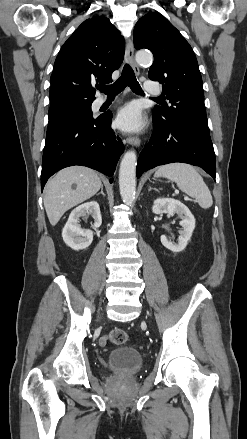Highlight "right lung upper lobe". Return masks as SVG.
<instances>
[{
    "label": "right lung upper lobe",
    "instance_id": "cb5924a9",
    "mask_svg": "<svg viewBox=\"0 0 247 439\" xmlns=\"http://www.w3.org/2000/svg\"><path fill=\"white\" fill-rule=\"evenodd\" d=\"M124 38L106 17L85 20L60 49L51 75L50 109L95 100V82L108 83L123 61Z\"/></svg>",
    "mask_w": 247,
    "mask_h": 439
}]
</instances>
